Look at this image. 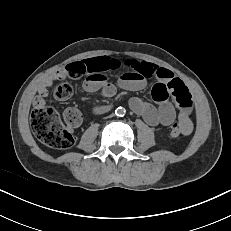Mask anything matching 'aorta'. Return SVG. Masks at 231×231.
<instances>
[{"label":"aorta","mask_w":231,"mask_h":231,"mask_svg":"<svg viewBox=\"0 0 231 231\" xmlns=\"http://www.w3.org/2000/svg\"><path fill=\"white\" fill-rule=\"evenodd\" d=\"M124 112H125V111H124V109H123L122 107H118V108L116 109V115L121 116Z\"/></svg>","instance_id":"obj_1"}]
</instances>
